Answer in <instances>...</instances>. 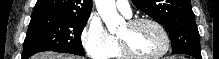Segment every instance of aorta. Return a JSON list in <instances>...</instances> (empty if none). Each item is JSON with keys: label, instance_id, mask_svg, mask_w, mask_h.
<instances>
[{"label": "aorta", "instance_id": "1", "mask_svg": "<svg viewBox=\"0 0 219 59\" xmlns=\"http://www.w3.org/2000/svg\"><path fill=\"white\" fill-rule=\"evenodd\" d=\"M96 8L110 33H115L122 21L116 10L115 0H95Z\"/></svg>", "mask_w": 219, "mask_h": 59}]
</instances>
